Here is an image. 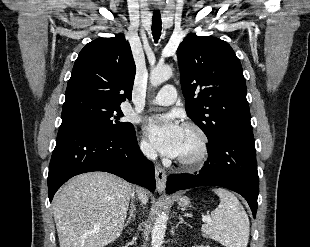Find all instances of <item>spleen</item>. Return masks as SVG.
Listing matches in <instances>:
<instances>
[{"mask_svg": "<svg viewBox=\"0 0 310 247\" xmlns=\"http://www.w3.org/2000/svg\"><path fill=\"white\" fill-rule=\"evenodd\" d=\"M220 204L211 212V219L202 225V232L225 247H247L250 222L243 206L230 191L213 189Z\"/></svg>", "mask_w": 310, "mask_h": 247, "instance_id": "1", "label": "spleen"}]
</instances>
